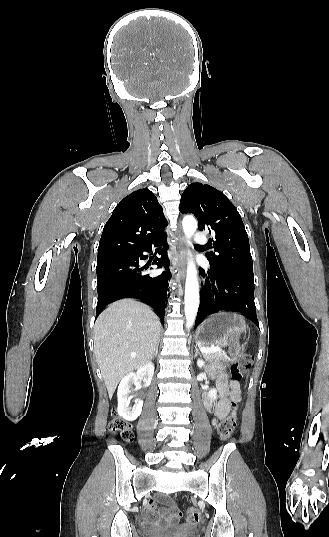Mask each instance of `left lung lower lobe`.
Wrapping results in <instances>:
<instances>
[{
  "label": "left lung lower lobe",
  "mask_w": 329,
  "mask_h": 537,
  "mask_svg": "<svg viewBox=\"0 0 329 537\" xmlns=\"http://www.w3.org/2000/svg\"><path fill=\"white\" fill-rule=\"evenodd\" d=\"M205 284L201 291L195 327L217 311L239 312L259 326L254 302V276L220 268L200 269Z\"/></svg>",
  "instance_id": "1"
}]
</instances>
